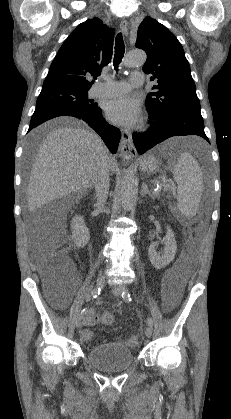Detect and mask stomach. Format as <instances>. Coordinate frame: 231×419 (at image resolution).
<instances>
[{"label":"stomach","instance_id":"obj_1","mask_svg":"<svg viewBox=\"0 0 231 419\" xmlns=\"http://www.w3.org/2000/svg\"><path fill=\"white\" fill-rule=\"evenodd\" d=\"M139 166L145 173H154L159 168V162L153 153H147L140 159Z\"/></svg>","mask_w":231,"mask_h":419}]
</instances>
